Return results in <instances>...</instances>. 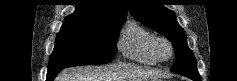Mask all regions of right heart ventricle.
Segmentation results:
<instances>
[{
  "mask_svg": "<svg viewBox=\"0 0 237 81\" xmlns=\"http://www.w3.org/2000/svg\"><path fill=\"white\" fill-rule=\"evenodd\" d=\"M155 35L136 22L128 24L123 30L118 49L123 57L136 63L153 66L158 63L152 50Z\"/></svg>",
  "mask_w": 237,
  "mask_h": 81,
  "instance_id": "obj_1",
  "label": "right heart ventricle"
}]
</instances>
